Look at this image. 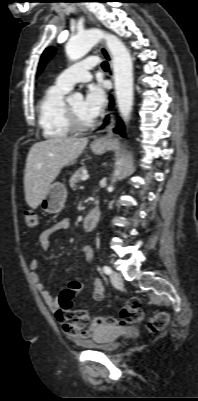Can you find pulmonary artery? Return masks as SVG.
Returning a JSON list of instances; mask_svg holds the SVG:
<instances>
[{"label":"pulmonary artery","mask_w":198,"mask_h":401,"mask_svg":"<svg viewBox=\"0 0 198 401\" xmlns=\"http://www.w3.org/2000/svg\"><path fill=\"white\" fill-rule=\"evenodd\" d=\"M97 63L98 60L93 57L75 63L58 75L56 84L70 90L73 85L78 82L89 81L91 79L90 70L96 66Z\"/></svg>","instance_id":"pulmonary-artery-1"}]
</instances>
